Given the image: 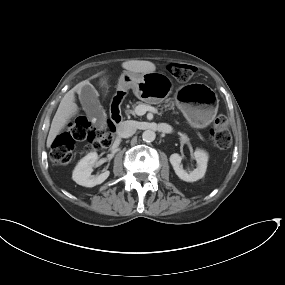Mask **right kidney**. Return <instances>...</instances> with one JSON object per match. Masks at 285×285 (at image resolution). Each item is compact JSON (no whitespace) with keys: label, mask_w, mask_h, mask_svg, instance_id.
<instances>
[{"label":"right kidney","mask_w":285,"mask_h":285,"mask_svg":"<svg viewBox=\"0 0 285 285\" xmlns=\"http://www.w3.org/2000/svg\"><path fill=\"white\" fill-rule=\"evenodd\" d=\"M98 159L96 152H91L82 158L75 169L73 170L72 179L79 185L85 187H94L103 183L108 177L110 172L105 170L100 175H91L93 165Z\"/></svg>","instance_id":"1"}]
</instances>
